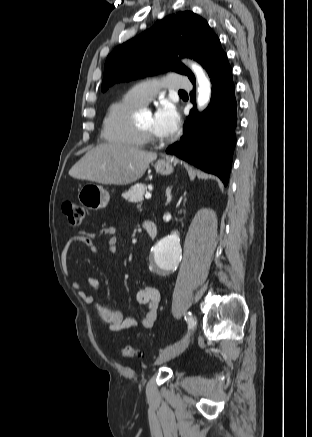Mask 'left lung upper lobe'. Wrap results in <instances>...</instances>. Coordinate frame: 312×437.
<instances>
[{"instance_id": "1", "label": "left lung upper lobe", "mask_w": 312, "mask_h": 437, "mask_svg": "<svg viewBox=\"0 0 312 437\" xmlns=\"http://www.w3.org/2000/svg\"><path fill=\"white\" fill-rule=\"evenodd\" d=\"M219 38L208 23L191 11L157 21L139 36L116 47L107 57L102 91L116 82L129 81L159 71L173 70L195 81L178 56L198 61L206 70L222 52Z\"/></svg>"}]
</instances>
